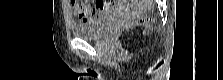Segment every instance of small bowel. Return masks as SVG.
<instances>
[{"label": "small bowel", "mask_w": 223, "mask_h": 80, "mask_svg": "<svg viewBox=\"0 0 223 80\" xmlns=\"http://www.w3.org/2000/svg\"><path fill=\"white\" fill-rule=\"evenodd\" d=\"M71 5L76 17L83 21L95 18L102 13L108 12L113 7V3L111 2H96L94 8H91L87 2L80 4L72 1Z\"/></svg>", "instance_id": "c3829d8e"}]
</instances>
